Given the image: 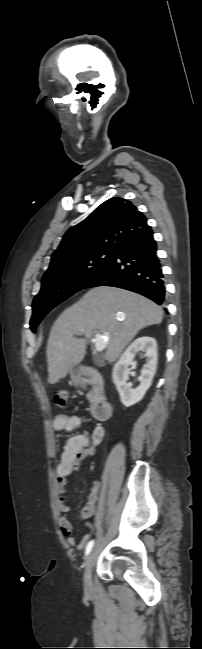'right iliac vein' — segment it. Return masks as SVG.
Wrapping results in <instances>:
<instances>
[{
	"mask_svg": "<svg viewBox=\"0 0 202 649\" xmlns=\"http://www.w3.org/2000/svg\"><path fill=\"white\" fill-rule=\"evenodd\" d=\"M95 558V551H91L86 558L85 569L83 575L84 588L87 593L92 591V567Z\"/></svg>",
	"mask_w": 202,
	"mask_h": 649,
	"instance_id": "1",
	"label": "right iliac vein"
}]
</instances>
